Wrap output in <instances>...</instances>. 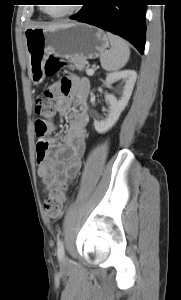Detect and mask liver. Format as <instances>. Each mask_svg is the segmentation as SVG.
I'll list each match as a JSON object with an SVG mask.
<instances>
[{"label": "liver", "instance_id": "liver-1", "mask_svg": "<svg viewBox=\"0 0 181 300\" xmlns=\"http://www.w3.org/2000/svg\"><path fill=\"white\" fill-rule=\"evenodd\" d=\"M61 25H64V24H50V25H37L33 28H40V29H53V28H56V27H59Z\"/></svg>", "mask_w": 181, "mask_h": 300}]
</instances>
